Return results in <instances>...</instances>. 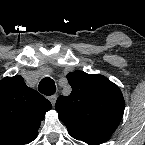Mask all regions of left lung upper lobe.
Instances as JSON below:
<instances>
[{"label": "left lung upper lobe", "mask_w": 145, "mask_h": 145, "mask_svg": "<svg viewBox=\"0 0 145 145\" xmlns=\"http://www.w3.org/2000/svg\"><path fill=\"white\" fill-rule=\"evenodd\" d=\"M72 92L59 96L56 111L67 127L112 129L119 125L125 108L118 86L99 74L75 71L67 74Z\"/></svg>", "instance_id": "left-lung-upper-lobe-1"}]
</instances>
